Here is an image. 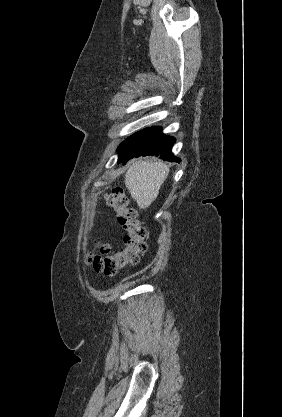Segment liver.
Instances as JSON below:
<instances>
[{
    "mask_svg": "<svg viewBox=\"0 0 282 417\" xmlns=\"http://www.w3.org/2000/svg\"><path fill=\"white\" fill-rule=\"evenodd\" d=\"M170 168L165 162L135 160L125 174V184L139 209H147L159 194Z\"/></svg>",
    "mask_w": 282,
    "mask_h": 417,
    "instance_id": "obj_1",
    "label": "liver"
}]
</instances>
